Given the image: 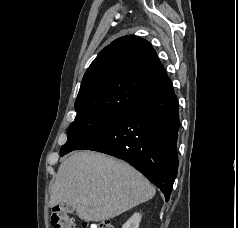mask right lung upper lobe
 I'll use <instances>...</instances> for the list:
<instances>
[{
	"instance_id": "obj_1",
	"label": "right lung upper lobe",
	"mask_w": 238,
	"mask_h": 228,
	"mask_svg": "<svg viewBox=\"0 0 238 228\" xmlns=\"http://www.w3.org/2000/svg\"><path fill=\"white\" fill-rule=\"evenodd\" d=\"M172 88L148 41L123 36L104 48L84 74L75 110L124 109Z\"/></svg>"
}]
</instances>
